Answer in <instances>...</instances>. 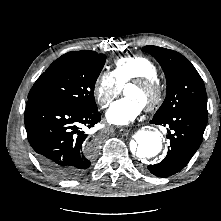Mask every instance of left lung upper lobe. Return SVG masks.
<instances>
[{
    "mask_svg": "<svg viewBox=\"0 0 221 221\" xmlns=\"http://www.w3.org/2000/svg\"><path fill=\"white\" fill-rule=\"evenodd\" d=\"M161 65L167 82V94L156 118L194 110L207 115V94L204 82L194 66L180 53L157 46H145Z\"/></svg>",
    "mask_w": 221,
    "mask_h": 221,
    "instance_id": "5c2ea615",
    "label": "left lung upper lobe"
}]
</instances>
